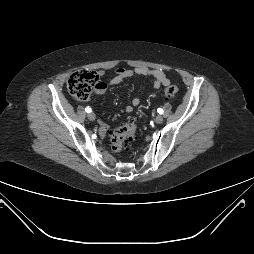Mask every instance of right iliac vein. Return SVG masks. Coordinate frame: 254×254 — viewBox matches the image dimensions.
Instances as JSON below:
<instances>
[{
  "label": "right iliac vein",
  "instance_id": "63e3f726",
  "mask_svg": "<svg viewBox=\"0 0 254 254\" xmlns=\"http://www.w3.org/2000/svg\"><path fill=\"white\" fill-rule=\"evenodd\" d=\"M88 119L91 120V121H94L96 116L94 113L90 112L88 115H87Z\"/></svg>",
  "mask_w": 254,
  "mask_h": 254
}]
</instances>
